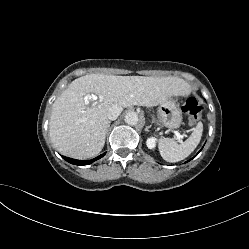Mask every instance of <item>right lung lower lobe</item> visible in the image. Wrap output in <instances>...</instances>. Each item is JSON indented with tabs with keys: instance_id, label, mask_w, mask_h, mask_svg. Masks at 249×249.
I'll return each instance as SVG.
<instances>
[{
	"instance_id": "right-lung-lower-lobe-1",
	"label": "right lung lower lobe",
	"mask_w": 249,
	"mask_h": 249,
	"mask_svg": "<svg viewBox=\"0 0 249 249\" xmlns=\"http://www.w3.org/2000/svg\"><path fill=\"white\" fill-rule=\"evenodd\" d=\"M106 153H103L101 155H99L98 157L91 159V160H76V159H72V158H68L65 156H62L63 159H65L67 162L72 163L74 165H88L93 163L94 161L100 159L101 157H103Z\"/></svg>"
}]
</instances>
